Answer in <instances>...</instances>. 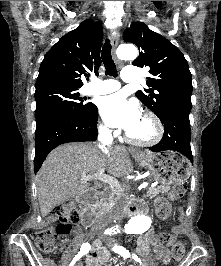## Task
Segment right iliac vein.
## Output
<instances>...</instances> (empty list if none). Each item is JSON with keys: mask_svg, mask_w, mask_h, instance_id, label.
Instances as JSON below:
<instances>
[{"mask_svg": "<svg viewBox=\"0 0 221 266\" xmlns=\"http://www.w3.org/2000/svg\"><path fill=\"white\" fill-rule=\"evenodd\" d=\"M100 240H97L96 242H95V246L97 247V246H100ZM78 266V265H77Z\"/></svg>", "mask_w": 221, "mask_h": 266, "instance_id": "1", "label": "right iliac vein"}]
</instances>
